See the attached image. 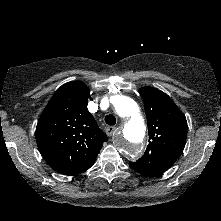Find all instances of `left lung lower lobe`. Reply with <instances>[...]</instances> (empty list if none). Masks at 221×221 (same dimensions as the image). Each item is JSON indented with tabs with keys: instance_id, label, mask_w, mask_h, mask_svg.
<instances>
[{
	"instance_id": "1",
	"label": "left lung lower lobe",
	"mask_w": 221,
	"mask_h": 221,
	"mask_svg": "<svg viewBox=\"0 0 221 221\" xmlns=\"http://www.w3.org/2000/svg\"><path fill=\"white\" fill-rule=\"evenodd\" d=\"M129 166L130 168H132L134 171L142 174V175H145V176H153V175H156L154 174L153 172L149 171L148 169H146L144 166H141L139 164H136V163H133V162H130L129 163Z\"/></svg>"
}]
</instances>
